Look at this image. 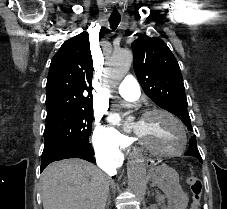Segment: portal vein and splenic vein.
<instances>
[{
	"instance_id": "18ae733b",
	"label": "portal vein and splenic vein",
	"mask_w": 227,
	"mask_h": 209,
	"mask_svg": "<svg viewBox=\"0 0 227 209\" xmlns=\"http://www.w3.org/2000/svg\"><path fill=\"white\" fill-rule=\"evenodd\" d=\"M164 197H165V196H164L163 194H161V195L159 196V198H158V201H159V202H162Z\"/></svg>"
}]
</instances>
